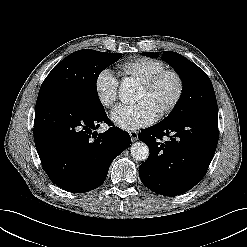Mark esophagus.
Wrapping results in <instances>:
<instances>
[{"instance_id": "esophagus-1", "label": "esophagus", "mask_w": 247, "mask_h": 247, "mask_svg": "<svg viewBox=\"0 0 247 247\" xmlns=\"http://www.w3.org/2000/svg\"><path fill=\"white\" fill-rule=\"evenodd\" d=\"M129 134H130V137H131L133 142L137 141V139H138V131L132 130V131H129Z\"/></svg>"}]
</instances>
